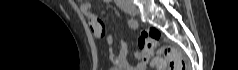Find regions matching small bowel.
Instances as JSON below:
<instances>
[{"mask_svg":"<svg viewBox=\"0 0 238 70\" xmlns=\"http://www.w3.org/2000/svg\"><path fill=\"white\" fill-rule=\"evenodd\" d=\"M107 0L106 2H108ZM80 10L88 19L90 30L95 38H105V43L109 46V57L113 61L118 70H145L151 55L146 54L144 46L141 43V37L138 40L140 50L135 53V59L139 62L131 66L127 62V44L122 41L120 49L115 52L112 48L114 39L111 35H107L106 28L103 21L91 11V4L89 1L80 2Z\"/></svg>","mask_w":238,"mask_h":70,"instance_id":"1","label":"small bowel"}]
</instances>
